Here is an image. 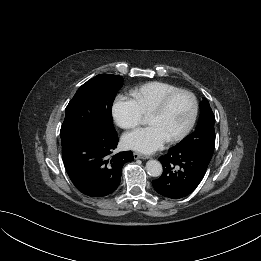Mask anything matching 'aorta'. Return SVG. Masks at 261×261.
I'll return each instance as SVG.
<instances>
[{
    "mask_svg": "<svg viewBox=\"0 0 261 261\" xmlns=\"http://www.w3.org/2000/svg\"><path fill=\"white\" fill-rule=\"evenodd\" d=\"M146 171L152 177H159L162 174L163 168L159 161L149 160L146 163Z\"/></svg>",
    "mask_w": 261,
    "mask_h": 261,
    "instance_id": "762f6f07",
    "label": "aorta"
}]
</instances>
